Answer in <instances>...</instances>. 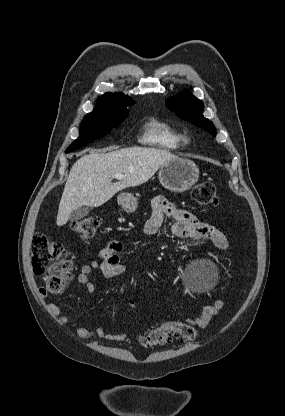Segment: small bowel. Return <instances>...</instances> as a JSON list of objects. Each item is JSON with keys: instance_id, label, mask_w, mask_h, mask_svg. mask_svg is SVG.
<instances>
[{"instance_id": "small-bowel-1", "label": "small bowel", "mask_w": 285, "mask_h": 416, "mask_svg": "<svg viewBox=\"0 0 285 416\" xmlns=\"http://www.w3.org/2000/svg\"><path fill=\"white\" fill-rule=\"evenodd\" d=\"M165 217L174 220L171 227V233L178 238L188 240H205L210 241L215 247L226 251L229 248L228 240L225 234L216 227L198 220V218L189 211L176 208L164 197H155L152 202V215L145 223L144 233L147 235L155 234L163 224ZM122 251V243L117 239L109 240L99 252V259L86 263L81 266L77 275V281L84 286L87 293L95 292V285L91 280V274L99 270L106 278L117 277L124 273L125 267L119 257ZM40 294L45 297L47 291L40 289ZM223 302L216 300L212 305L203 308L200 314L195 317L187 318L185 323L199 328H205L222 308ZM49 312L57 318L61 325H68L70 318L62 313L61 307L56 303L48 305ZM79 337L88 340L107 339L111 341H126L127 334H111L104 327L98 326L95 329L79 327L77 329Z\"/></svg>"}]
</instances>
